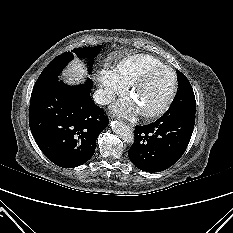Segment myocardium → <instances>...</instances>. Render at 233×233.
I'll use <instances>...</instances> for the list:
<instances>
[{"instance_id":"obj_1","label":"myocardium","mask_w":233,"mask_h":233,"mask_svg":"<svg viewBox=\"0 0 233 233\" xmlns=\"http://www.w3.org/2000/svg\"><path fill=\"white\" fill-rule=\"evenodd\" d=\"M161 70L167 71L172 75V85L165 100L158 107L152 110H149V111H140V114L145 118L158 117L162 115L169 108V106L171 105L175 97L177 87H178L177 75L175 71L169 66H166V65L154 66V67H150L146 69L130 84L129 93L132 95L135 89L138 86H140L142 83H144L151 74L157 71H161Z\"/></svg>"}]
</instances>
